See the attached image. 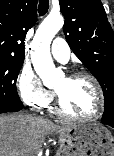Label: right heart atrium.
<instances>
[{
  "mask_svg": "<svg viewBox=\"0 0 114 156\" xmlns=\"http://www.w3.org/2000/svg\"><path fill=\"white\" fill-rule=\"evenodd\" d=\"M19 97L33 109L46 108L53 100V92L47 89L30 66H23L16 78Z\"/></svg>",
  "mask_w": 114,
  "mask_h": 156,
  "instance_id": "right-heart-atrium-1",
  "label": "right heart atrium"
}]
</instances>
